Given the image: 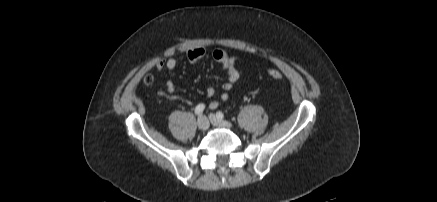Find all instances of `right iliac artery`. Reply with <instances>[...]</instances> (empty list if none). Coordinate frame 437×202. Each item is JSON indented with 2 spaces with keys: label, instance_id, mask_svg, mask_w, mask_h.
I'll return each instance as SVG.
<instances>
[{
  "label": "right iliac artery",
  "instance_id": "obj_1",
  "mask_svg": "<svg viewBox=\"0 0 437 202\" xmlns=\"http://www.w3.org/2000/svg\"><path fill=\"white\" fill-rule=\"evenodd\" d=\"M204 109H205V105L204 104H202V103L198 104L196 106V108H195V114L196 115H201L203 113Z\"/></svg>",
  "mask_w": 437,
  "mask_h": 202
}]
</instances>
